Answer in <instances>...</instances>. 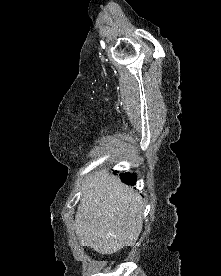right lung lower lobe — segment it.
Masks as SVG:
<instances>
[{
  "label": "right lung lower lobe",
  "instance_id": "98d812e1",
  "mask_svg": "<svg viewBox=\"0 0 221 276\" xmlns=\"http://www.w3.org/2000/svg\"><path fill=\"white\" fill-rule=\"evenodd\" d=\"M136 175L132 173H124L120 174L121 180L127 185H135L136 184Z\"/></svg>",
  "mask_w": 221,
  "mask_h": 276
}]
</instances>
